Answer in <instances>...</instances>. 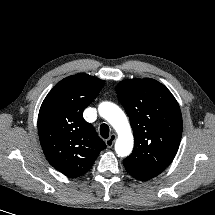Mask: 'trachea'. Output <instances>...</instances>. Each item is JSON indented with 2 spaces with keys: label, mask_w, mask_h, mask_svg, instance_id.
<instances>
[{
  "label": "trachea",
  "mask_w": 215,
  "mask_h": 215,
  "mask_svg": "<svg viewBox=\"0 0 215 215\" xmlns=\"http://www.w3.org/2000/svg\"><path fill=\"white\" fill-rule=\"evenodd\" d=\"M100 134L103 138H108L109 136V126L107 124H101L100 126Z\"/></svg>",
  "instance_id": "3493384b"
}]
</instances>
